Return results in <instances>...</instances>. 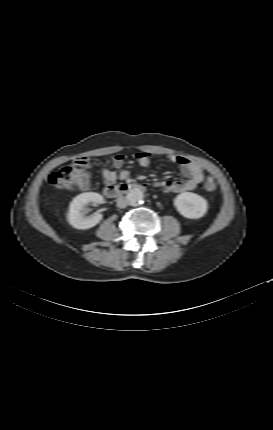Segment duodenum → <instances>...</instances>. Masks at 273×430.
<instances>
[{"label":"duodenum","mask_w":273,"mask_h":430,"mask_svg":"<svg viewBox=\"0 0 273 430\" xmlns=\"http://www.w3.org/2000/svg\"><path fill=\"white\" fill-rule=\"evenodd\" d=\"M145 186L139 183H122L119 185L109 184L104 193L109 198H117L133 190H144Z\"/></svg>","instance_id":"obj_1"}]
</instances>
